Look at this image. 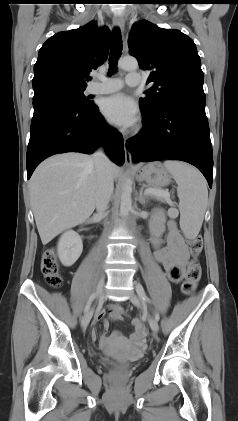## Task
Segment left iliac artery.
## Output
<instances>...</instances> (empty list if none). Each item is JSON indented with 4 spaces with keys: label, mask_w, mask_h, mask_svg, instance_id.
<instances>
[{
    "label": "left iliac artery",
    "mask_w": 238,
    "mask_h": 421,
    "mask_svg": "<svg viewBox=\"0 0 238 421\" xmlns=\"http://www.w3.org/2000/svg\"><path fill=\"white\" fill-rule=\"evenodd\" d=\"M136 291H137L138 296L142 300V302H144V303L147 302L149 304H152L151 299L146 295L145 290H144V288L141 284L136 285ZM154 316H155L156 321H159L160 316H159V313L157 311H155Z\"/></svg>",
    "instance_id": "1"
}]
</instances>
